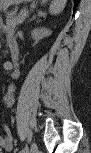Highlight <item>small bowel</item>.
I'll use <instances>...</instances> for the list:
<instances>
[{"label":"small bowel","mask_w":91,"mask_h":153,"mask_svg":"<svg viewBox=\"0 0 91 153\" xmlns=\"http://www.w3.org/2000/svg\"><path fill=\"white\" fill-rule=\"evenodd\" d=\"M10 76H14V71H10ZM14 86L8 85L7 93L4 96L3 102L6 107H10L13 103ZM0 145L3 149L10 151L13 148V139L8 127L4 128L3 136L0 138Z\"/></svg>","instance_id":"1"}]
</instances>
